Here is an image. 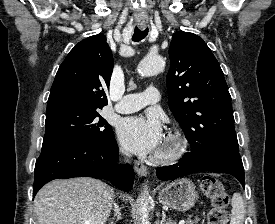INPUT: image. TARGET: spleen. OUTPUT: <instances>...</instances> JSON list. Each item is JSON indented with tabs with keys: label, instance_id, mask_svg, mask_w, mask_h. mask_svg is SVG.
<instances>
[{
	"label": "spleen",
	"instance_id": "1",
	"mask_svg": "<svg viewBox=\"0 0 275 224\" xmlns=\"http://www.w3.org/2000/svg\"><path fill=\"white\" fill-rule=\"evenodd\" d=\"M245 217V206L240 193H235L232 197V211L230 224H243Z\"/></svg>",
	"mask_w": 275,
	"mask_h": 224
}]
</instances>
